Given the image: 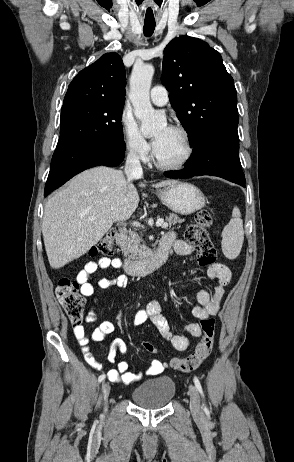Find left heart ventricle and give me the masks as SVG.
Segmentation results:
<instances>
[{"label": "left heart ventricle", "mask_w": 294, "mask_h": 462, "mask_svg": "<svg viewBox=\"0 0 294 462\" xmlns=\"http://www.w3.org/2000/svg\"><path fill=\"white\" fill-rule=\"evenodd\" d=\"M153 136L159 138V144L155 150L162 162L173 163L183 158L186 144L180 133L163 125L154 131Z\"/></svg>", "instance_id": "b2bd125f"}]
</instances>
